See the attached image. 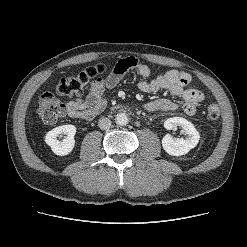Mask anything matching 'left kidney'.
Here are the masks:
<instances>
[{"mask_svg": "<svg viewBox=\"0 0 247 247\" xmlns=\"http://www.w3.org/2000/svg\"><path fill=\"white\" fill-rule=\"evenodd\" d=\"M181 127L184 133L187 135L183 138H173L167 134L162 139L163 149L172 156H181L187 154L192 148H194L200 139V135L194 125L182 117L169 118L164 122V127L167 130H175L177 127Z\"/></svg>", "mask_w": 247, "mask_h": 247, "instance_id": "obj_1", "label": "left kidney"}]
</instances>
